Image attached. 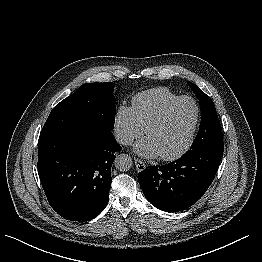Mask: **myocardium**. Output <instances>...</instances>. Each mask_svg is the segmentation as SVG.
Returning <instances> with one entry per match:
<instances>
[{"instance_id":"1","label":"myocardium","mask_w":262,"mask_h":262,"mask_svg":"<svg viewBox=\"0 0 262 262\" xmlns=\"http://www.w3.org/2000/svg\"><path fill=\"white\" fill-rule=\"evenodd\" d=\"M185 100H189L191 101L195 108H196V114H195V118H194V122H193V126L191 128V131L189 133V136L185 142V144L176 152L169 154V155H160V158L164 161H173L176 160L178 158H180L182 155H184L189 148L191 147L194 138H195V134L199 125V121H200V115H201V109L200 106L198 104V102L191 96H180L178 98H176L175 100L171 101L170 103H168L160 112L159 114L149 123V125L146 127V134L148 135V133L150 132V130H152L153 128L159 126L160 124H162L164 122V120L166 119L168 113L180 102L185 101Z\"/></svg>"}]
</instances>
